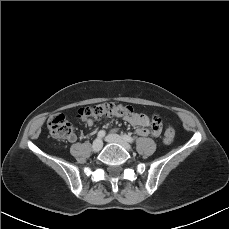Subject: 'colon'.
<instances>
[{"mask_svg": "<svg viewBox=\"0 0 229 229\" xmlns=\"http://www.w3.org/2000/svg\"><path fill=\"white\" fill-rule=\"evenodd\" d=\"M135 109L129 104H118L113 102L101 103L92 106H87L79 109V116L85 119H99L109 115H130ZM152 122L159 125L161 118L159 115H154ZM48 130L52 138L56 140H64L72 137L73 128L65 115L61 112H56L48 119ZM175 138V131L168 128L164 133V142L171 143Z\"/></svg>", "mask_w": 229, "mask_h": 229, "instance_id": "1", "label": "colon"}]
</instances>
